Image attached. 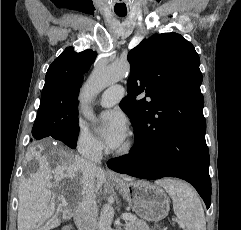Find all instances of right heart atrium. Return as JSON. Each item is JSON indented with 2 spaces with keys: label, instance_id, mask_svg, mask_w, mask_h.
<instances>
[{
  "label": "right heart atrium",
  "instance_id": "obj_1",
  "mask_svg": "<svg viewBox=\"0 0 241 230\" xmlns=\"http://www.w3.org/2000/svg\"><path fill=\"white\" fill-rule=\"evenodd\" d=\"M75 143L79 153L87 157L97 156L103 151L102 143L83 127H79Z\"/></svg>",
  "mask_w": 241,
  "mask_h": 230
}]
</instances>
